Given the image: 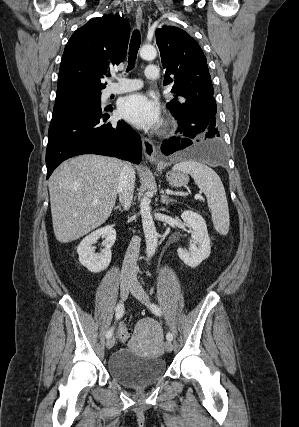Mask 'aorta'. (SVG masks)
Here are the masks:
<instances>
[{"label":"aorta","instance_id":"762f6f07","mask_svg":"<svg viewBox=\"0 0 299 427\" xmlns=\"http://www.w3.org/2000/svg\"><path fill=\"white\" fill-rule=\"evenodd\" d=\"M156 55L157 51L152 45H144L140 49V57L144 60H153ZM140 214L146 240V254L150 258L155 254L158 246V233L151 215L150 199L147 196L141 199Z\"/></svg>","mask_w":299,"mask_h":427}]
</instances>
